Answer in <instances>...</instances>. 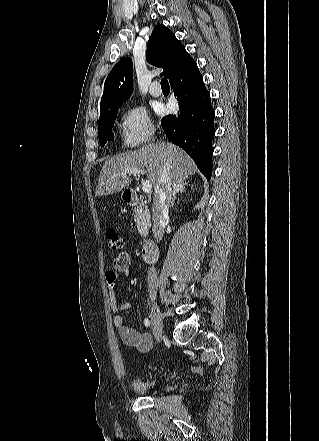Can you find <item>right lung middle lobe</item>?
Instances as JSON below:
<instances>
[{
	"instance_id": "1",
	"label": "right lung middle lobe",
	"mask_w": 319,
	"mask_h": 441,
	"mask_svg": "<svg viewBox=\"0 0 319 441\" xmlns=\"http://www.w3.org/2000/svg\"><path fill=\"white\" fill-rule=\"evenodd\" d=\"M120 106L121 105L100 110L98 133L101 147H103L108 140H113L114 135L111 131Z\"/></svg>"
}]
</instances>
